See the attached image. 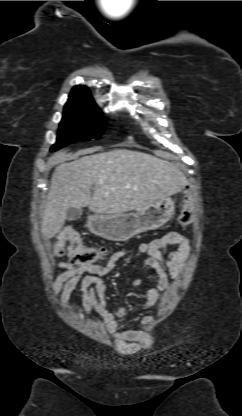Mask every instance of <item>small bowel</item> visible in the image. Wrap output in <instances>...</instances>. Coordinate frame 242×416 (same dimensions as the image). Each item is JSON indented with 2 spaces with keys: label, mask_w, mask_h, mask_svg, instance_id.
<instances>
[{
  "label": "small bowel",
  "mask_w": 242,
  "mask_h": 416,
  "mask_svg": "<svg viewBox=\"0 0 242 416\" xmlns=\"http://www.w3.org/2000/svg\"><path fill=\"white\" fill-rule=\"evenodd\" d=\"M169 245H175V250H169ZM138 251L145 255L144 265L155 270L154 285L147 291L145 300L140 304L142 310H150L167 291L169 279L177 278L182 272L189 253L188 240L178 232H169L163 237L139 245ZM128 255L127 251L118 250L112 253L105 263L76 265L69 261L58 264L62 272L58 275L54 293L60 295L62 310L67 308L71 295L80 284L83 313L85 317L95 310L103 319L107 331L117 343L126 344L134 341L140 331L130 329L120 331L118 319L125 315V308L109 309L105 297V283L102 277L109 275L116 267L117 262ZM141 280L135 279L133 286L141 285ZM151 318L141 319L143 326H148Z\"/></svg>",
  "instance_id": "c3829d8e"
}]
</instances>
